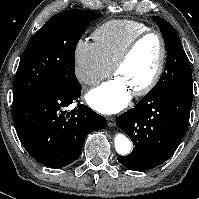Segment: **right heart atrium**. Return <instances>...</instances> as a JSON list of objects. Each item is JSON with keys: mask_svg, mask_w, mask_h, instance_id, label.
Segmentation results:
<instances>
[{"mask_svg": "<svg viewBox=\"0 0 199 199\" xmlns=\"http://www.w3.org/2000/svg\"><path fill=\"white\" fill-rule=\"evenodd\" d=\"M74 73L81 84L93 86L111 73V65L94 42L80 39L74 49Z\"/></svg>", "mask_w": 199, "mask_h": 199, "instance_id": "right-heart-atrium-1", "label": "right heart atrium"}]
</instances>
